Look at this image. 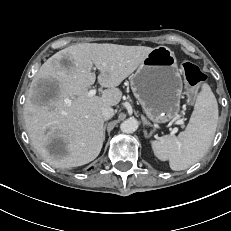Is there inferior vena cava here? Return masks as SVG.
I'll list each match as a JSON object with an SVG mask.
<instances>
[{
	"instance_id": "obj_1",
	"label": "inferior vena cava",
	"mask_w": 231,
	"mask_h": 231,
	"mask_svg": "<svg viewBox=\"0 0 231 231\" xmlns=\"http://www.w3.org/2000/svg\"><path fill=\"white\" fill-rule=\"evenodd\" d=\"M102 118L104 120H108L113 117L114 110L111 107H103L101 111Z\"/></svg>"
}]
</instances>
